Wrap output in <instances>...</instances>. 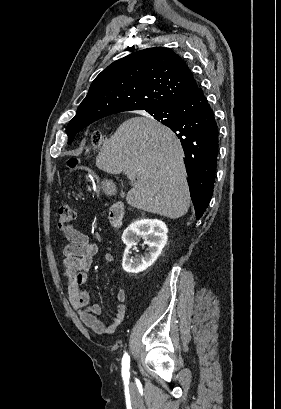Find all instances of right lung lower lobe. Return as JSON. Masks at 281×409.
Returning <instances> with one entry per match:
<instances>
[{
    "instance_id": "obj_1",
    "label": "right lung lower lobe",
    "mask_w": 281,
    "mask_h": 409,
    "mask_svg": "<svg viewBox=\"0 0 281 409\" xmlns=\"http://www.w3.org/2000/svg\"><path fill=\"white\" fill-rule=\"evenodd\" d=\"M163 118L180 139L196 219H200L211 200L218 153L219 132L210 105L197 88L186 98L148 112Z\"/></svg>"
}]
</instances>
